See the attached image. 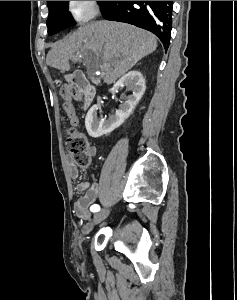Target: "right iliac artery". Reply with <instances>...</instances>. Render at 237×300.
I'll use <instances>...</instances> for the list:
<instances>
[{
	"mask_svg": "<svg viewBox=\"0 0 237 300\" xmlns=\"http://www.w3.org/2000/svg\"><path fill=\"white\" fill-rule=\"evenodd\" d=\"M90 210H91L92 212H98V211H100V206L97 205V204H94V205H92V206L90 207Z\"/></svg>",
	"mask_w": 237,
	"mask_h": 300,
	"instance_id": "obj_1",
	"label": "right iliac artery"
}]
</instances>
